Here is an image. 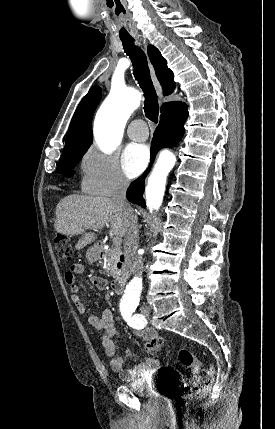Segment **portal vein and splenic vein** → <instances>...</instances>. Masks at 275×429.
<instances>
[{"instance_id":"1","label":"portal vein and splenic vein","mask_w":275,"mask_h":429,"mask_svg":"<svg viewBox=\"0 0 275 429\" xmlns=\"http://www.w3.org/2000/svg\"><path fill=\"white\" fill-rule=\"evenodd\" d=\"M113 243L115 244V245H119L120 243H121V239L117 236V237H114L113 238Z\"/></svg>"}]
</instances>
